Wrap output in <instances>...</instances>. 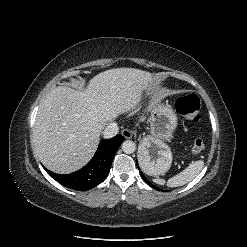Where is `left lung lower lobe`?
<instances>
[{"label":"left lung lower lobe","mask_w":247,"mask_h":247,"mask_svg":"<svg viewBox=\"0 0 247 247\" xmlns=\"http://www.w3.org/2000/svg\"><path fill=\"white\" fill-rule=\"evenodd\" d=\"M141 173V172H140ZM141 176H142V178H143V180L149 185V186H151L152 188H154V189H157V190H159L156 186H153L148 180H146V178L141 174Z\"/></svg>","instance_id":"1"}]
</instances>
